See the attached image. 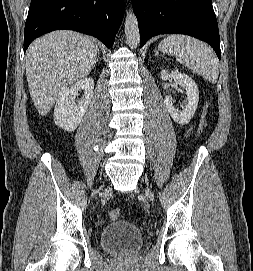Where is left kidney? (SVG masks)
<instances>
[{"label":"left kidney","instance_id":"1","mask_svg":"<svg viewBox=\"0 0 253 271\" xmlns=\"http://www.w3.org/2000/svg\"><path fill=\"white\" fill-rule=\"evenodd\" d=\"M161 79L164 81L173 79L179 86L186 90L187 101L182 110L174 107V101L170 95L165 96L164 104L175 122L181 125L188 124L195 114L199 102V90L196 83L191 77L177 70L171 73L167 70H162Z\"/></svg>","mask_w":253,"mask_h":271}]
</instances>
